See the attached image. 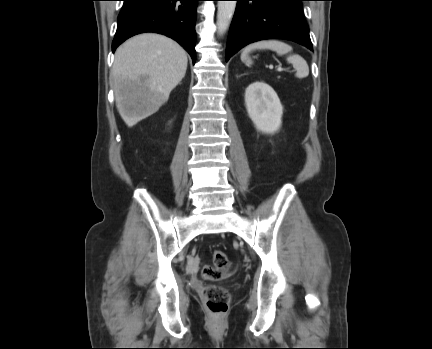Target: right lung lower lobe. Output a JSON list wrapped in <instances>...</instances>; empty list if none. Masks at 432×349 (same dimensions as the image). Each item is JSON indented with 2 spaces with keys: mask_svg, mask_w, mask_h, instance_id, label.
Instances as JSON below:
<instances>
[{
  "mask_svg": "<svg viewBox=\"0 0 432 349\" xmlns=\"http://www.w3.org/2000/svg\"><path fill=\"white\" fill-rule=\"evenodd\" d=\"M112 51L139 33L155 32L176 40L195 62L196 7L200 0H123Z\"/></svg>",
  "mask_w": 432,
  "mask_h": 349,
  "instance_id": "right-lung-lower-lobe-1",
  "label": "right lung lower lobe"
}]
</instances>
